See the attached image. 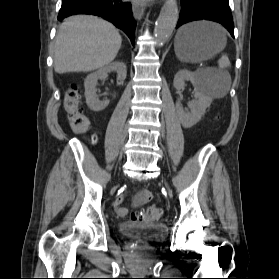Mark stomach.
I'll list each match as a JSON object with an SVG mask.
<instances>
[{"mask_svg":"<svg viewBox=\"0 0 279 279\" xmlns=\"http://www.w3.org/2000/svg\"><path fill=\"white\" fill-rule=\"evenodd\" d=\"M226 41L225 31L220 26L206 21L193 22L178 30L175 54L183 62L195 63L220 52Z\"/></svg>","mask_w":279,"mask_h":279,"instance_id":"stomach-1","label":"stomach"}]
</instances>
